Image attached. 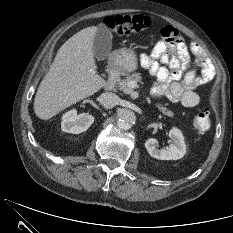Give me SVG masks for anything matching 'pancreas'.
Segmentation results:
<instances>
[{
	"mask_svg": "<svg viewBox=\"0 0 233 233\" xmlns=\"http://www.w3.org/2000/svg\"><path fill=\"white\" fill-rule=\"evenodd\" d=\"M130 81H136V82H142V77L140 73H133L132 75H128L123 79H118L117 81V88L121 91L126 92L129 89L128 83ZM156 107L164 114L167 115L168 117H173L174 113L169 110L168 108L164 107L162 104L157 103Z\"/></svg>",
	"mask_w": 233,
	"mask_h": 233,
	"instance_id": "1",
	"label": "pancreas"
}]
</instances>
